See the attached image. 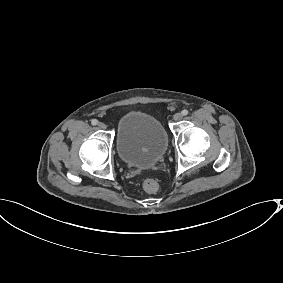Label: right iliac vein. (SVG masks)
<instances>
[{
    "mask_svg": "<svg viewBox=\"0 0 283 283\" xmlns=\"http://www.w3.org/2000/svg\"><path fill=\"white\" fill-rule=\"evenodd\" d=\"M98 127H99L100 129H106V124L103 123V122H99V123H98Z\"/></svg>",
    "mask_w": 283,
    "mask_h": 283,
    "instance_id": "right-iliac-vein-1",
    "label": "right iliac vein"
}]
</instances>
